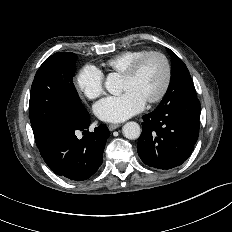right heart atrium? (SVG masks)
Here are the masks:
<instances>
[{
    "mask_svg": "<svg viewBox=\"0 0 232 232\" xmlns=\"http://www.w3.org/2000/svg\"><path fill=\"white\" fill-rule=\"evenodd\" d=\"M76 87L85 98L95 99L104 91V75L95 66L85 65L77 74Z\"/></svg>",
    "mask_w": 232,
    "mask_h": 232,
    "instance_id": "obj_1",
    "label": "right heart atrium"
}]
</instances>
